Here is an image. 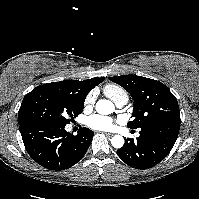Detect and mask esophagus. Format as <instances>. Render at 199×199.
<instances>
[{
    "label": "esophagus",
    "mask_w": 199,
    "mask_h": 199,
    "mask_svg": "<svg viewBox=\"0 0 199 199\" xmlns=\"http://www.w3.org/2000/svg\"><path fill=\"white\" fill-rule=\"evenodd\" d=\"M107 137H112L113 136V134L112 133H104Z\"/></svg>",
    "instance_id": "obj_1"
}]
</instances>
